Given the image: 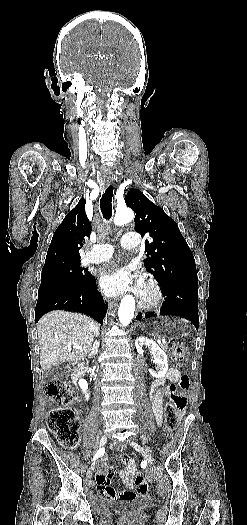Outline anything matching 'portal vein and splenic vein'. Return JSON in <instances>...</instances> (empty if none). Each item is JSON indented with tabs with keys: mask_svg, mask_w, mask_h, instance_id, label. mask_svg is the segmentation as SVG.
Masks as SVG:
<instances>
[{
	"mask_svg": "<svg viewBox=\"0 0 247 525\" xmlns=\"http://www.w3.org/2000/svg\"><path fill=\"white\" fill-rule=\"evenodd\" d=\"M157 343H161V340H157ZM67 348H73L78 349V351H83V347H81V345H74V343H71V345H67Z\"/></svg>",
	"mask_w": 247,
	"mask_h": 525,
	"instance_id": "18ae733b",
	"label": "portal vein and splenic vein"
}]
</instances>
